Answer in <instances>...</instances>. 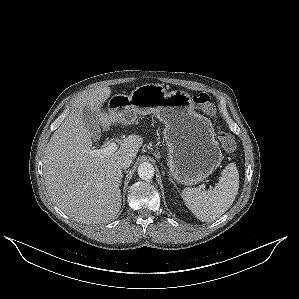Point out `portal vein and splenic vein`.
Here are the masks:
<instances>
[{"label": "portal vein and splenic vein", "instance_id": "portal-vein-and-splenic-vein-1", "mask_svg": "<svg viewBox=\"0 0 299 299\" xmlns=\"http://www.w3.org/2000/svg\"><path fill=\"white\" fill-rule=\"evenodd\" d=\"M118 149V145L116 142H110L106 147L101 148V149H95L91 150L89 152L90 155L97 157V158H103L107 155L112 154ZM200 188L204 189L205 185H201Z\"/></svg>", "mask_w": 299, "mask_h": 299}]
</instances>
